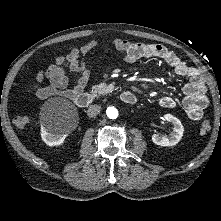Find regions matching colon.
Listing matches in <instances>:
<instances>
[{
  "label": "colon",
  "instance_id": "5ec220e1",
  "mask_svg": "<svg viewBox=\"0 0 221 221\" xmlns=\"http://www.w3.org/2000/svg\"><path fill=\"white\" fill-rule=\"evenodd\" d=\"M28 122H29V119L26 116H18L14 119L15 126L20 129L24 128L28 124ZM210 129H211V125L208 120H205L200 124L199 131L201 134L208 133Z\"/></svg>",
  "mask_w": 221,
  "mask_h": 221
}]
</instances>
